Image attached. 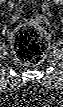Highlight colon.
Here are the masks:
<instances>
[{"instance_id":"5ec220e1","label":"colon","mask_w":63,"mask_h":107,"mask_svg":"<svg viewBox=\"0 0 63 107\" xmlns=\"http://www.w3.org/2000/svg\"><path fill=\"white\" fill-rule=\"evenodd\" d=\"M49 39L47 20L39 15L33 17L13 33L12 46L17 59L24 64H38L47 52Z\"/></svg>"}]
</instances>
